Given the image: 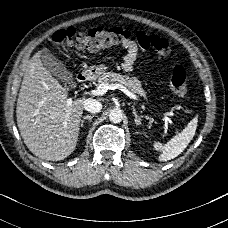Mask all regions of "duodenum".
<instances>
[{
	"label": "duodenum",
	"instance_id": "duodenum-1",
	"mask_svg": "<svg viewBox=\"0 0 228 228\" xmlns=\"http://www.w3.org/2000/svg\"><path fill=\"white\" fill-rule=\"evenodd\" d=\"M90 76L91 74L88 71L79 72L76 76V82L79 84H83L89 80Z\"/></svg>",
	"mask_w": 228,
	"mask_h": 228
}]
</instances>
